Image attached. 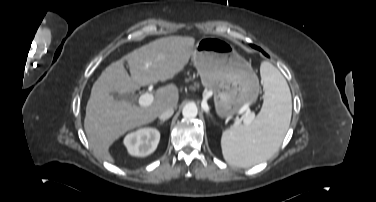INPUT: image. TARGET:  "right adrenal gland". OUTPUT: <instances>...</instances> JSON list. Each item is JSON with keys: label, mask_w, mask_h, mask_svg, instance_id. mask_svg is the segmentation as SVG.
I'll return each instance as SVG.
<instances>
[{"label": "right adrenal gland", "mask_w": 376, "mask_h": 202, "mask_svg": "<svg viewBox=\"0 0 376 202\" xmlns=\"http://www.w3.org/2000/svg\"><path fill=\"white\" fill-rule=\"evenodd\" d=\"M164 122H165V121H160V122H158V124L162 125V124H164Z\"/></svg>", "instance_id": "obj_1"}]
</instances>
